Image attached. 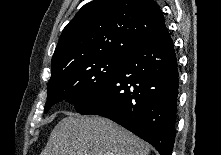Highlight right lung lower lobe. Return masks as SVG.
<instances>
[{
  "instance_id": "obj_1",
  "label": "right lung lower lobe",
  "mask_w": 221,
  "mask_h": 155,
  "mask_svg": "<svg viewBox=\"0 0 221 155\" xmlns=\"http://www.w3.org/2000/svg\"><path fill=\"white\" fill-rule=\"evenodd\" d=\"M178 69L167 31L138 42L110 82L80 114L107 117L171 155L175 141Z\"/></svg>"
}]
</instances>
